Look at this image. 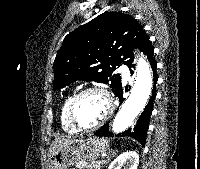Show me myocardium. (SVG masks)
Masks as SVG:
<instances>
[{"label": "myocardium", "instance_id": "f54148a6", "mask_svg": "<svg viewBox=\"0 0 200 169\" xmlns=\"http://www.w3.org/2000/svg\"><path fill=\"white\" fill-rule=\"evenodd\" d=\"M91 92L100 93L105 98L106 103H107V109L103 117L99 120V122H97L95 125L91 127L84 128V127H81L77 123V120L75 117V107H76L77 102L82 96ZM114 110H115V101L110 91L102 86L92 85V86L83 88L82 90L74 94L68 106V116H69V120L72 126L78 132H92L100 128L102 125H104L107 122V120L112 116Z\"/></svg>", "mask_w": 200, "mask_h": 169}]
</instances>
